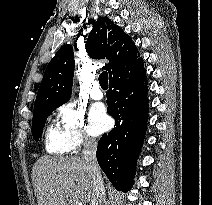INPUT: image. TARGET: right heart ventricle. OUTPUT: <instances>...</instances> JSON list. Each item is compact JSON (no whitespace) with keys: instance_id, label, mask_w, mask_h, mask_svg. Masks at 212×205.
<instances>
[{"instance_id":"1","label":"right heart ventricle","mask_w":212,"mask_h":205,"mask_svg":"<svg viewBox=\"0 0 212 205\" xmlns=\"http://www.w3.org/2000/svg\"><path fill=\"white\" fill-rule=\"evenodd\" d=\"M45 148L50 154L61 155L70 151L60 128L54 124L48 126L45 134Z\"/></svg>"}]
</instances>
